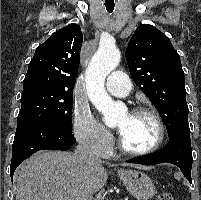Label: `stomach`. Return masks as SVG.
Masks as SVG:
<instances>
[{"label": "stomach", "mask_w": 201, "mask_h": 200, "mask_svg": "<svg viewBox=\"0 0 201 200\" xmlns=\"http://www.w3.org/2000/svg\"><path fill=\"white\" fill-rule=\"evenodd\" d=\"M123 184L137 200H148L155 194V187L148 175L137 170H118Z\"/></svg>", "instance_id": "obj_1"}]
</instances>
